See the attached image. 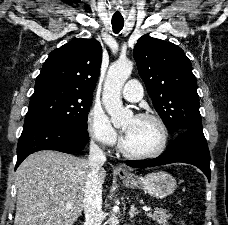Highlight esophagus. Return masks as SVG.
Wrapping results in <instances>:
<instances>
[{"mask_svg":"<svg viewBox=\"0 0 228 225\" xmlns=\"http://www.w3.org/2000/svg\"><path fill=\"white\" fill-rule=\"evenodd\" d=\"M116 172L118 173L120 178H126L131 175L130 169L125 167V165H118V167L116 168Z\"/></svg>","mask_w":228,"mask_h":225,"instance_id":"esophagus-1","label":"esophagus"}]
</instances>
